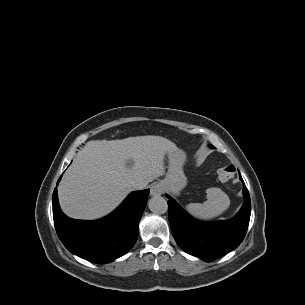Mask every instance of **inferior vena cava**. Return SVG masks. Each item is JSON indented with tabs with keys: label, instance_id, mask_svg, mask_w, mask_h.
I'll return each instance as SVG.
<instances>
[{
	"label": "inferior vena cava",
	"instance_id": "602c4592",
	"mask_svg": "<svg viewBox=\"0 0 305 305\" xmlns=\"http://www.w3.org/2000/svg\"><path fill=\"white\" fill-rule=\"evenodd\" d=\"M132 188L134 189V190H141V189H143L144 188V185H142V184H140V183H132Z\"/></svg>",
	"mask_w": 305,
	"mask_h": 305
}]
</instances>
